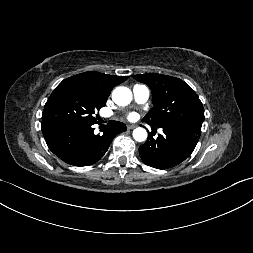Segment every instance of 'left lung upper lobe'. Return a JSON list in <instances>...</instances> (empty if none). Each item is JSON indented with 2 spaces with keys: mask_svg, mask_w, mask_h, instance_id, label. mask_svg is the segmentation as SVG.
I'll return each mask as SVG.
<instances>
[{
  "mask_svg": "<svg viewBox=\"0 0 253 253\" xmlns=\"http://www.w3.org/2000/svg\"><path fill=\"white\" fill-rule=\"evenodd\" d=\"M134 78L152 91L153 108L143 118L156 127L190 125L204 120L203 105L192 88L179 78L147 73Z\"/></svg>",
  "mask_w": 253,
  "mask_h": 253,
  "instance_id": "left-lung-upper-lobe-1",
  "label": "left lung upper lobe"
}]
</instances>
